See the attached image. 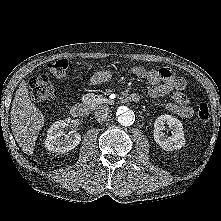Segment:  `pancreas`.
Returning <instances> with one entry per match:
<instances>
[{
	"instance_id": "1",
	"label": "pancreas",
	"mask_w": 221,
	"mask_h": 221,
	"mask_svg": "<svg viewBox=\"0 0 221 221\" xmlns=\"http://www.w3.org/2000/svg\"><path fill=\"white\" fill-rule=\"evenodd\" d=\"M87 101L99 103L103 100L101 96L95 97L94 95H88L86 98Z\"/></svg>"
}]
</instances>
